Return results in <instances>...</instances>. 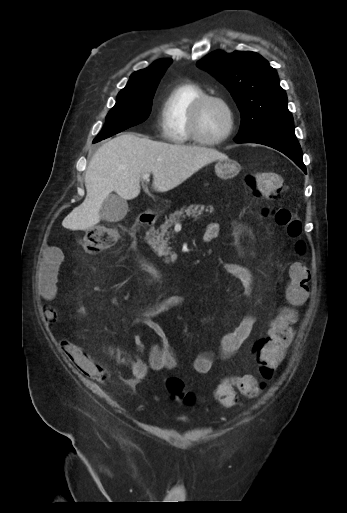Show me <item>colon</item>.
<instances>
[{
	"label": "colon",
	"instance_id": "5ec220e1",
	"mask_svg": "<svg viewBox=\"0 0 347 513\" xmlns=\"http://www.w3.org/2000/svg\"><path fill=\"white\" fill-rule=\"evenodd\" d=\"M247 192L257 193L258 196L272 200L283 190V181L275 172H256L247 178ZM264 217H272L282 225L287 235L293 239L296 254L303 258L306 253V243L302 239L303 222L289 209H273L266 207L262 210ZM118 232L106 226H93L85 231L83 245L90 253H98L116 244ZM310 283V269L302 260L294 262L288 272L286 297L291 305L299 304L306 299ZM277 310L270 321L268 336L258 343V358L256 376L243 375L223 379L214 391L217 402L225 407L233 406L237 401L236 391L247 397L257 396L270 379L277 376L279 363L286 358V345L290 342L297 314L291 306ZM86 373V372H85ZM167 390L174 398L182 400L186 405L193 406L196 398L191 392H184L183 381L178 377L167 380Z\"/></svg>",
	"mask_w": 347,
	"mask_h": 513
}]
</instances>
